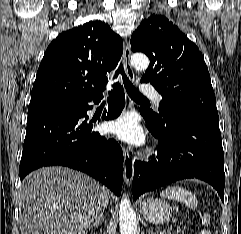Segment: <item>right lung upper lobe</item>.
<instances>
[{"label":"right lung upper lobe","instance_id":"right-lung-upper-lobe-1","mask_svg":"<svg viewBox=\"0 0 241 234\" xmlns=\"http://www.w3.org/2000/svg\"><path fill=\"white\" fill-rule=\"evenodd\" d=\"M123 53L108 24L88 22L62 32L48 46L37 71L30 105L81 104L99 97Z\"/></svg>","mask_w":241,"mask_h":234}]
</instances>
